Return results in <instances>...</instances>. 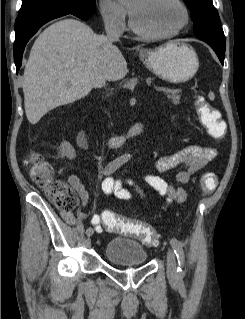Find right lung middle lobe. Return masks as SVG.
I'll list each match as a JSON object with an SVG mask.
<instances>
[{
	"mask_svg": "<svg viewBox=\"0 0 245 319\" xmlns=\"http://www.w3.org/2000/svg\"><path fill=\"white\" fill-rule=\"evenodd\" d=\"M53 7L70 8L85 13H92L95 9V0H22L18 16Z\"/></svg>",
	"mask_w": 245,
	"mask_h": 319,
	"instance_id": "dd1d6c3e",
	"label": "right lung middle lobe"
}]
</instances>
